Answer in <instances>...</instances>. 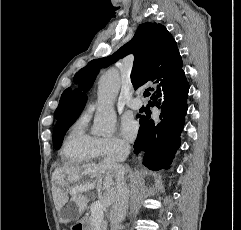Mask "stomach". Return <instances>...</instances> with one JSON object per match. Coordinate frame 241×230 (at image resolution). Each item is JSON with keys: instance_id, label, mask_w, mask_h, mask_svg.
<instances>
[{"instance_id": "stomach-1", "label": "stomach", "mask_w": 241, "mask_h": 230, "mask_svg": "<svg viewBox=\"0 0 241 230\" xmlns=\"http://www.w3.org/2000/svg\"><path fill=\"white\" fill-rule=\"evenodd\" d=\"M75 226L78 227L79 230H91L90 225L85 218L79 220Z\"/></svg>"}]
</instances>
